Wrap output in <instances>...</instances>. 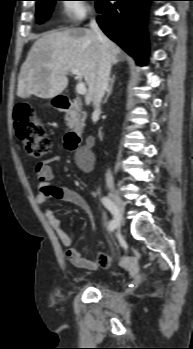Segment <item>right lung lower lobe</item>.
Masks as SVG:
<instances>
[{
    "mask_svg": "<svg viewBox=\"0 0 193 349\" xmlns=\"http://www.w3.org/2000/svg\"><path fill=\"white\" fill-rule=\"evenodd\" d=\"M111 1H96V10L102 14L97 17L100 28L139 64H145L148 56L147 8L154 0Z\"/></svg>",
    "mask_w": 193,
    "mask_h": 349,
    "instance_id": "obj_1",
    "label": "right lung lower lobe"
}]
</instances>
